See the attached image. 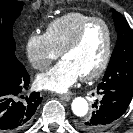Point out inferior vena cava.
Listing matches in <instances>:
<instances>
[{
    "mask_svg": "<svg viewBox=\"0 0 133 133\" xmlns=\"http://www.w3.org/2000/svg\"><path fill=\"white\" fill-rule=\"evenodd\" d=\"M43 66H46V62H43Z\"/></svg>",
    "mask_w": 133,
    "mask_h": 133,
    "instance_id": "inferior-vena-cava-1",
    "label": "inferior vena cava"
}]
</instances>
